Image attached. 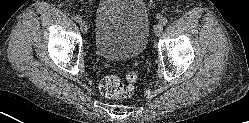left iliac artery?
Returning <instances> with one entry per match:
<instances>
[{"label":"left iliac artery","mask_w":249,"mask_h":123,"mask_svg":"<svg viewBox=\"0 0 249 123\" xmlns=\"http://www.w3.org/2000/svg\"><path fill=\"white\" fill-rule=\"evenodd\" d=\"M160 22H161V24L166 25L167 22H168V20H167L166 17H163V18L160 20Z\"/></svg>","instance_id":"1"}]
</instances>
